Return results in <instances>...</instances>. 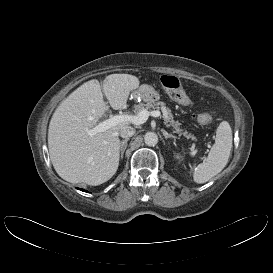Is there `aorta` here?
Listing matches in <instances>:
<instances>
[{
    "label": "aorta",
    "mask_w": 273,
    "mask_h": 273,
    "mask_svg": "<svg viewBox=\"0 0 273 273\" xmlns=\"http://www.w3.org/2000/svg\"><path fill=\"white\" fill-rule=\"evenodd\" d=\"M145 144L148 146H154L158 143V136L154 132H147L144 135Z\"/></svg>",
    "instance_id": "obj_1"
}]
</instances>
